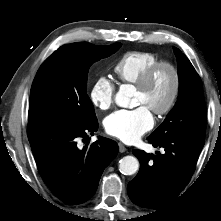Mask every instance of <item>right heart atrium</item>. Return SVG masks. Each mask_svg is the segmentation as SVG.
I'll return each instance as SVG.
<instances>
[{"instance_id": "1", "label": "right heart atrium", "mask_w": 221, "mask_h": 221, "mask_svg": "<svg viewBox=\"0 0 221 221\" xmlns=\"http://www.w3.org/2000/svg\"><path fill=\"white\" fill-rule=\"evenodd\" d=\"M115 97V86L106 76H99L92 84L89 99L92 105L100 111L109 109Z\"/></svg>"}]
</instances>
